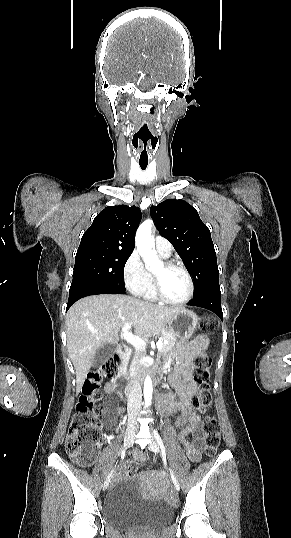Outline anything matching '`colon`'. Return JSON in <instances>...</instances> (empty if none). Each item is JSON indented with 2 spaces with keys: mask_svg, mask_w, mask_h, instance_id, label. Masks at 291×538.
Returning a JSON list of instances; mask_svg holds the SVG:
<instances>
[{
  "mask_svg": "<svg viewBox=\"0 0 291 538\" xmlns=\"http://www.w3.org/2000/svg\"><path fill=\"white\" fill-rule=\"evenodd\" d=\"M214 327L211 317H204L199 323V329L205 333ZM121 356L119 352H113L102 366L91 372L84 382L82 394L77 404V413L70 425L66 450L68 455L81 465H89L97 455L100 442L101 430L99 417L103 408L98 405L102 397L101 382L105 377H112L119 371ZM211 361L207 355L200 354L194 358L193 380L198 385V393L193 403L204 413L212 406V395L209 384V368ZM205 451L208 456H213L220 445V427L215 415H206L204 421ZM137 471L135 465L128 469L129 475Z\"/></svg>",
  "mask_w": 291,
  "mask_h": 538,
  "instance_id": "obj_1",
  "label": "colon"
}]
</instances>
